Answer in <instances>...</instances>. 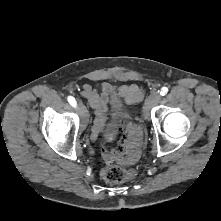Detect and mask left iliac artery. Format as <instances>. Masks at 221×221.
Wrapping results in <instances>:
<instances>
[{"label":"left iliac artery","instance_id":"1","mask_svg":"<svg viewBox=\"0 0 221 221\" xmlns=\"http://www.w3.org/2000/svg\"><path fill=\"white\" fill-rule=\"evenodd\" d=\"M168 93V88L167 87H162L160 90V95L164 96Z\"/></svg>","mask_w":221,"mask_h":221}]
</instances>
